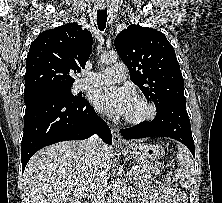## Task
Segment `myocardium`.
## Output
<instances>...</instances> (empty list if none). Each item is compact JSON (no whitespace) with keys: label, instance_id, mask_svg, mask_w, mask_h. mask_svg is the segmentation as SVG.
<instances>
[{"label":"myocardium","instance_id":"myocardium-1","mask_svg":"<svg viewBox=\"0 0 222 203\" xmlns=\"http://www.w3.org/2000/svg\"><path fill=\"white\" fill-rule=\"evenodd\" d=\"M133 100L142 103L145 107V113L139 117H125V121L131 125H140L152 120L156 115V108L146 97L135 95Z\"/></svg>","mask_w":222,"mask_h":203}]
</instances>
